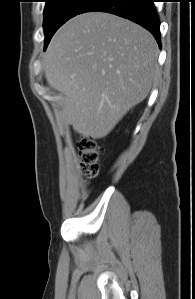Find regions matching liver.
Listing matches in <instances>:
<instances>
[{
    "instance_id": "1",
    "label": "liver",
    "mask_w": 195,
    "mask_h": 299,
    "mask_svg": "<svg viewBox=\"0 0 195 299\" xmlns=\"http://www.w3.org/2000/svg\"><path fill=\"white\" fill-rule=\"evenodd\" d=\"M158 54L154 37L121 17L90 12L67 21L43 60L47 83L62 96L63 120L83 137L107 136L147 97Z\"/></svg>"
}]
</instances>
